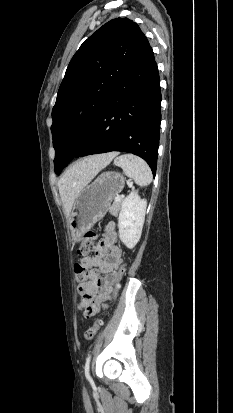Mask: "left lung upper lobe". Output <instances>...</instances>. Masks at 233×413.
<instances>
[{"label":"left lung upper lobe","mask_w":233,"mask_h":413,"mask_svg":"<svg viewBox=\"0 0 233 413\" xmlns=\"http://www.w3.org/2000/svg\"><path fill=\"white\" fill-rule=\"evenodd\" d=\"M145 38L137 23L116 18L90 36L71 59L52 110L56 174L84 144Z\"/></svg>","instance_id":"obj_1"}]
</instances>
